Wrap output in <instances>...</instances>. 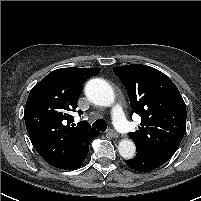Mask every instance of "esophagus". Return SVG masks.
<instances>
[{
	"mask_svg": "<svg viewBox=\"0 0 201 201\" xmlns=\"http://www.w3.org/2000/svg\"><path fill=\"white\" fill-rule=\"evenodd\" d=\"M106 134L112 138H117L118 134L113 129H108Z\"/></svg>",
	"mask_w": 201,
	"mask_h": 201,
	"instance_id": "obj_1",
	"label": "esophagus"
}]
</instances>
